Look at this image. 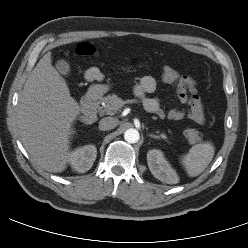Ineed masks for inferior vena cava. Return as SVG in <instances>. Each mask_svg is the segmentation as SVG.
<instances>
[{
  "label": "inferior vena cava",
  "mask_w": 248,
  "mask_h": 248,
  "mask_svg": "<svg viewBox=\"0 0 248 248\" xmlns=\"http://www.w3.org/2000/svg\"><path fill=\"white\" fill-rule=\"evenodd\" d=\"M119 121L114 117H105L99 122V129L102 131L114 129L118 125Z\"/></svg>",
  "instance_id": "obj_1"
}]
</instances>
